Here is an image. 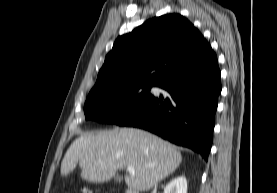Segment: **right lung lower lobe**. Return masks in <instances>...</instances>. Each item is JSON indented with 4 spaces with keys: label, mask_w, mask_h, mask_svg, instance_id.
Wrapping results in <instances>:
<instances>
[{
    "label": "right lung lower lobe",
    "mask_w": 277,
    "mask_h": 193,
    "mask_svg": "<svg viewBox=\"0 0 277 193\" xmlns=\"http://www.w3.org/2000/svg\"><path fill=\"white\" fill-rule=\"evenodd\" d=\"M220 76L217 57L212 51L204 60L175 73L158 86L168 91L170 97L152 96L117 124L149 130L191 148L207 160L221 92Z\"/></svg>",
    "instance_id": "98d812e1"
}]
</instances>
